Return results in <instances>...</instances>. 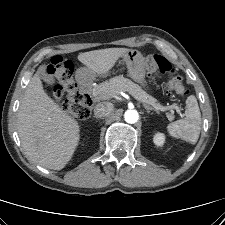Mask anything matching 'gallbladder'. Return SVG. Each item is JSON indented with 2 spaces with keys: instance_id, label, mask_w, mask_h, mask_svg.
I'll list each match as a JSON object with an SVG mask.
<instances>
[{
  "instance_id": "bac80fb5",
  "label": "gallbladder",
  "mask_w": 225,
  "mask_h": 225,
  "mask_svg": "<svg viewBox=\"0 0 225 225\" xmlns=\"http://www.w3.org/2000/svg\"><path fill=\"white\" fill-rule=\"evenodd\" d=\"M38 74H39L40 78L47 84L54 83V77L51 74L47 73L45 65H42L38 68Z\"/></svg>"
}]
</instances>
